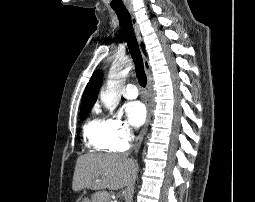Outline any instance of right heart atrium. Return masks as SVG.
Listing matches in <instances>:
<instances>
[{
	"mask_svg": "<svg viewBox=\"0 0 255 202\" xmlns=\"http://www.w3.org/2000/svg\"><path fill=\"white\" fill-rule=\"evenodd\" d=\"M105 121L108 148L114 151L125 149L133 138L128 124L118 117H109Z\"/></svg>",
	"mask_w": 255,
	"mask_h": 202,
	"instance_id": "1",
	"label": "right heart atrium"
}]
</instances>
